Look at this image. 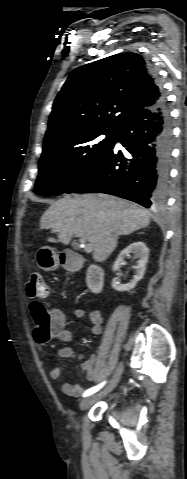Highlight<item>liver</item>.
<instances>
[{
  "instance_id": "6515ba94",
  "label": "liver",
  "mask_w": 187,
  "mask_h": 479,
  "mask_svg": "<svg viewBox=\"0 0 187 479\" xmlns=\"http://www.w3.org/2000/svg\"><path fill=\"white\" fill-rule=\"evenodd\" d=\"M150 224L147 211L136 204L105 194L65 197L53 203L40 220L41 229H53L68 245L73 237L88 241L93 259L105 261L115 250L120 235H129Z\"/></svg>"
}]
</instances>
